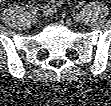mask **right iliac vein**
<instances>
[{
	"label": "right iliac vein",
	"instance_id": "63e3f726",
	"mask_svg": "<svg viewBox=\"0 0 111 106\" xmlns=\"http://www.w3.org/2000/svg\"><path fill=\"white\" fill-rule=\"evenodd\" d=\"M31 22L34 25L37 24L38 23V16L37 15H32Z\"/></svg>",
	"mask_w": 111,
	"mask_h": 106
}]
</instances>
